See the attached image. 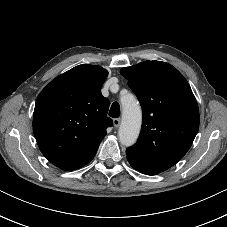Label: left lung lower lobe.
Returning <instances> with one entry per match:
<instances>
[{
    "label": "left lung lower lobe",
    "instance_id": "obj_1",
    "mask_svg": "<svg viewBox=\"0 0 227 227\" xmlns=\"http://www.w3.org/2000/svg\"><path fill=\"white\" fill-rule=\"evenodd\" d=\"M131 166L136 169L137 171L143 173V174H146V175H156L158 174L157 172H154V171H150V170H147V169H144V168H141V167H137L133 164H131Z\"/></svg>",
    "mask_w": 227,
    "mask_h": 227
}]
</instances>
